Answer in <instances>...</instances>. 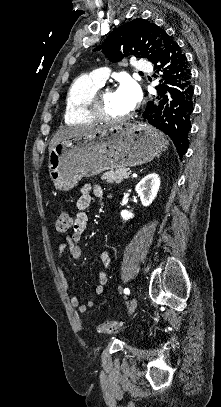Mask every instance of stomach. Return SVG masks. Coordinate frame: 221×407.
Returning <instances> with one entry per match:
<instances>
[{
  "label": "stomach",
  "mask_w": 221,
  "mask_h": 407,
  "mask_svg": "<svg viewBox=\"0 0 221 407\" xmlns=\"http://www.w3.org/2000/svg\"><path fill=\"white\" fill-rule=\"evenodd\" d=\"M168 145L162 133L144 123L107 127L57 143L49 152V175L56 189L68 191L83 177L150 162Z\"/></svg>",
  "instance_id": "stomach-1"
}]
</instances>
